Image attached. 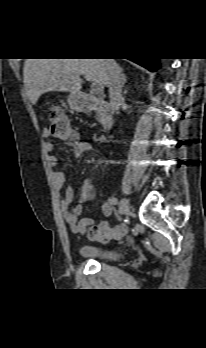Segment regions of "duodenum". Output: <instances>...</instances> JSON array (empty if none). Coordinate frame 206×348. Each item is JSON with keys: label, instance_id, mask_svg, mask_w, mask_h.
<instances>
[{"label": "duodenum", "instance_id": "duodenum-1", "mask_svg": "<svg viewBox=\"0 0 206 348\" xmlns=\"http://www.w3.org/2000/svg\"><path fill=\"white\" fill-rule=\"evenodd\" d=\"M78 102L81 105L82 111H95L98 113L101 126L104 130H110L113 127L112 107L109 102L91 95H79Z\"/></svg>", "mask_w": 206, "mask_h": 348}]
</instances>
